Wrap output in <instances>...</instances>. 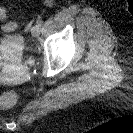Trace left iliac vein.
I'll return each mask as SVG.
<instances>
[{
  "mask_svg": "<svg viewBox=\"0 0 133 133\" xmlns=\"http://www.w3.org/2000/svg\"><path fill=\"white\" fill-rule=\"evenodd\" d=\"M31 33L33 36H38L40 34V26L35 25L31 29Z\"/></svg>",
  "mask_w": 133,
  "mask_h": 133,
  "instance_id": "1",
  "label": "left iliac vein"
}]
</instances>
